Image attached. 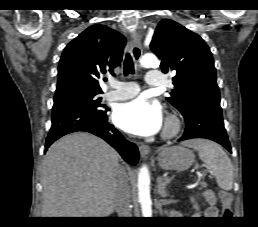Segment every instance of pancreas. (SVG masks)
Wrapping results in <instances>:
<instances>
[{
	"label": "pancreas",
	"mask_w": 258,
	"mask_h": 227,
	"mask_svg": "<svg viewBox=\"0 0 258 227\" xmlns=\"http://www.w3.org/2000/svg\"><path fill=\"white\" fill-rule=\"evenodd\" d=\"M200 185H201L202 187H205V186H206V183L201 182Z\"/></svg>",
	"instance_id": "cf45deb5"
}]
</instances>
